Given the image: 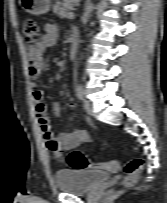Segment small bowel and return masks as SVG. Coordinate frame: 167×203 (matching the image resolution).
<instances>
[{"label": "small bowel", "mask_w": 167, "mask_h": 203, "mask_svg": "<svg viewBox=\"0 0 167 203\" xmlns=\"http://www.w3.org/2000/svg\"><path fill=\"white\" fill-rule=\"evenodd\" d=\"M58 28L56 25L47 24L45 27V34L41 37L37 45L29 50V75L32 82L36 81L47 71V64L41 58V51L47 47H52L57 43ZM44 92L39 89L33 90V101L35 107V116L45 139L46 148L51 152L52 157L56 160L62 158V153L66 150L72 149L79 144L89 141L90 137L86 131L73 129L67 133H60L53 136L50 131V121L47 114V107L43 102ZM73 100L66 104L67 108L74 107ZM52 113L59 116L61 113V106L58 101H54L51 106ZM120 164L118 162L106 163L108 170L118 169Z\"/></svg>", "instance_id": "c3829d8e"}]
</instances>
